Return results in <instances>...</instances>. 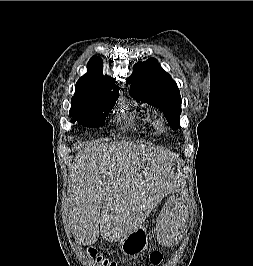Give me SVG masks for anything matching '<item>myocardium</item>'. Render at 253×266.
<instances>
[{"label":"myocardium","instance_id":"myocardium-1","mask_svg":"<svg viewBox=\"0 0 253 266\" xmlns=\"http://www.w3.org/2000/svg\"><path fill=\"white\" fill-rule=\"evenodd\" d=\"M154 125H155L156 129L159 130V131H161L163 129V123H162L161 120H156L154 122Z\"/></svg>","mask_w":253,"mask_h":266}]
</instances>
